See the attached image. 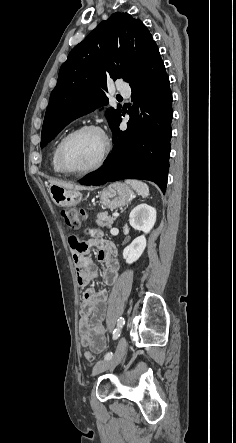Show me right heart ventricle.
I'll use <instances>...</instances> for the list:
<instances>
[{"mask_svg":"<svg viewBox=\"0 0 236 443\" xmlns=\"http://www.w3.org/2000/svg\"><path fill=\"white\" fill-rule=\"evenodd\" d=\"M68 133H63L54 143L53 149H52V155H51V166L54 172L56 173H64L59 164H58V159H57V151H58V147L61 143V141L63 140V138L67 135Z\"/></svg>","mask_w":236,"mask_h":443,"instance_id":"e07e8e85","label":"right heart ventricle"}]
</instances>
